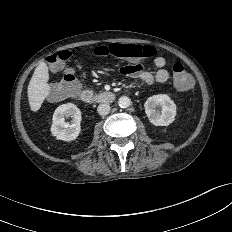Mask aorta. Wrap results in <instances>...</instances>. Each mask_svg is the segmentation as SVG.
<instances>
[{"instance_id": "762f6f07", "label": "aorta", "mask_w": 232, "mask_h": 232, "mask_svg": "<svg viewBox=\"0 0 232 232\" xmlns=\"http://www.w3.org/2000/svg\"><path fill=\"white\" fill-rule=\"evenodd\" d=\"M118 104H119V106H120L121 108H127V107L130 106L131 100H130V98L127 97V96H122V97L119 98Z\"/></svg>"}]
</instances>
